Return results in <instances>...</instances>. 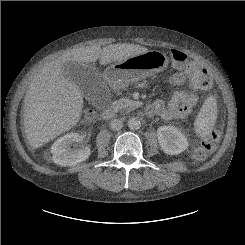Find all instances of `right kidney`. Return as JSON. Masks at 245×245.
<instances>
[{
	"mask_svg": "<svg viewBox=\"0 0 245 245\" xmlns=\"http://www.w3.org/2000/svg\"><path fill=\"white\" fill-rule=\"evenodd\" d=\"M85 136L69 133L57 139L51 148L53 161L60 166H74L87 160L91 154L89 147L71 149L74 142L82 141Z\"/></svg>",
	"mask_w": 245,
	"mask_h": 245,
	"instance_id": "1",
	"label": "right kidney"
}]
</instances>
